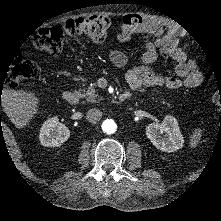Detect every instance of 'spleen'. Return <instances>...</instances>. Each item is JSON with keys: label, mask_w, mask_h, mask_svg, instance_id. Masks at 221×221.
<instances>
[{"label": "spleen", "mask_w": 221, "mask_h": 221, "mask_svg": "<svg viewBox=\"0 0 221 221\" xmlns=\"http://www.w3.org/2000/svg\"><path fill=\"white\" fill-rule=\"evenodd\" d=\"M202 135L201 129H195L193 134L190 136V147L196 148Z\"/></svg>", "instance_id": "1"}]
</instances>
